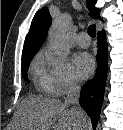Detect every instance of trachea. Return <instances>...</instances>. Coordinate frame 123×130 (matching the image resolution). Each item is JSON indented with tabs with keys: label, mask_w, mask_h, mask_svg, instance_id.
<instances>
[{
	"label": "trachea",
	"mask_w": 123,
	"mask_h": 130,
	"mask_svg": "<svg viewBox=\"0 0 123 130\" xmlns=\"http://www.w3.org/2000/svg\"><path fill=\"white\" fill-rule=\"evenodd\" d=\"M88 34H89V36H91V37H95V36H96V28H95L94 25H90V26L88 27Z\"/></svg>",
	"instance_id": "1"
}]
</instances>
